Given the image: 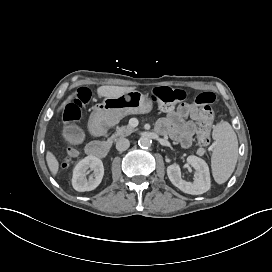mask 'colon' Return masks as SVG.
Here are the masks:
<instances>
[{"label":"colon","instance_id":"obj_1","mask_svg":"<svg viewBox=\"0 0 272 272\" xmlns=\"http://www.w3.org/2000/svg\"><path fill=\"white\" fill-rule=\"evenodd\" d=\"M154 102L161 101L162 103H173L182 99V94L178 90H174L168 87H157L153 92ZM90 100V92L87 88L79 89L75 98L70 100L63 112V122L65 125L74 126L77 125L81 119V113L83 107ZM216 101V95L212 92L200 93L195 98V104L198 107L199 125L200 131L198 133V141L202 146H206L209 143V132L211 125L214 121L213 105ZM73 156L66 157L67 161H70Z\"/></svg>","mask_w":272,"mask_h":272}]
</instances>
